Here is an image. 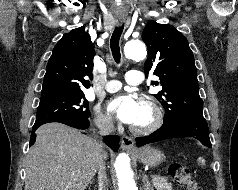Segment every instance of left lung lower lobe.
Returning <instances> with one entry per match:
<instances>
[{
	"label": "left lung lower lobe",
	"mask_w": 238,
	"mask_h": 190,
	"mask_svg": "<svg viewBox=\"0 0 238 190\" xmlns=\"http://www.w3.org/2000/svg\"><path fill=\"white\" fill-rule=\"evenodd\" d=\"M177 137H193L203 145L211 147L208 125L203 117V112L195 111L176 115L164 122L161 128L153 132L149 137L137 138L136 145L141 147L149 143Z\"/></svg>",
	"instance_id": "obj_1"
}]
</instances>
